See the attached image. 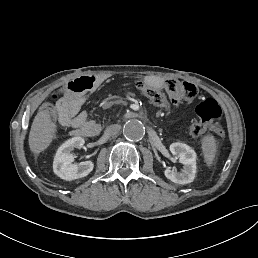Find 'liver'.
Listing matches in <instances>:
<instances>
[{"instance_id": "1", "label": "liver", "mask_w": 258, "mask_h": 258, "mask_svg": "<svg viewBox=\"0 0 258 258\" xmlns=\"http://www.w3.org/2000/svg\"><path fill=\"white\" fill-rule=\"evenodd\" d=\"M56 132V124L51 120L48 110H43L35 116L29 133L30 150L38 155L52 142Z\"/></svg>"}]
</instances>
